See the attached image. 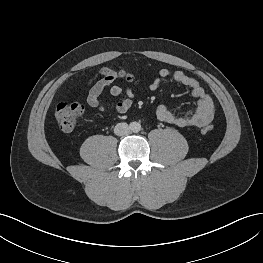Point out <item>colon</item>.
Segmentation results:
<instances>
[{"label":"colon","mask_w":263,"mask_h":263,"mask_svg":"<svg viewBox=\"0 0 263 263\" xmlns=\"http://www.w3.org/2000/svg\"><path fill=\"white\" fill-rule=\"evenodd\" d=\"M99 74L103 77V79L109 82H113L116 80L134 82V77L123 70L102 68L99 71ZM83 113L84 106L79 102H60L55 110V118L59 129L62 131H71L75 127L78 119L83 115ZM212 130V127L207 126L202 130V132L204 134H208Z\"/></svg>","instance_id":"colon-1"}]
</instances>
